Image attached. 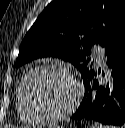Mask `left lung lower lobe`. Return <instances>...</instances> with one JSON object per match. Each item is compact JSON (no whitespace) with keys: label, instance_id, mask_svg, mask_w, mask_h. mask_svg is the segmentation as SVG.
Listing matches in <instances>:
<instances>
[{"label":"left lung lower lobe","instance_id":"1","mask_svg":"<svg viewBox=\"0 0 125 128\" xmlns=\"http://www.w3.org/2000/svg\"><path fill=\"white\" fill-rule=\"evenodd\" d=\"M108 73L99 68L84 78L85 94L72 119L125 127V27L105 47Z\"/></svg>","mask_w":125,"mask_h":128}]
</instances>
